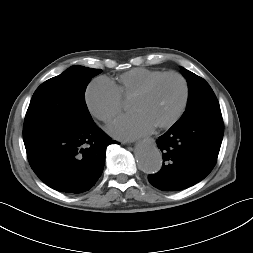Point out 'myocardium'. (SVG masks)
I'll use <instances>...</instances> for the list:
<instances>
[{
	"label": "myocardium",
	"instance_id": "myocardium-1",
	"mask_svg": "<svg viewBox=\"0 0 253 253\" xmlns=\"http://www.w3.org/2000/svg\"><path fill=\"white\" fill-rule=\"evenodd\" d=\"M168 77H175L181 82V84L183 86V96H182L181 104H180L178 110L176 111V113L168 121L157 125L156 128H158V129H168V128L172 127L176 122H178V120L184 114L186 107L188 105L189 94H190V89H189V84H188L187 79L182 74H180L178 72H174V71L165 72V73L153 78L149 82H147L132 97V100H134V99H139V98L146 96L157 83H159L161 80L168 78Z\"/></svg>",
	"mask_w": 253,
	"mask_h": 253
}]
</instances>
